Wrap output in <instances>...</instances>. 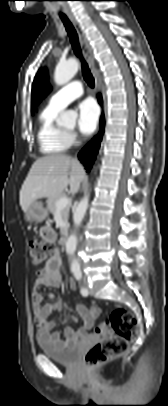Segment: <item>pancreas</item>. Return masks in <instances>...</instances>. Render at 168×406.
<instances>
[{
    "mask_svg": "<svg viewBox=\"0 0 168 406\" xmlns=\"http://www.w3.org/2000/svg\"><path fill=\"white\" fill-rule=\"evenodd\" d=\"M63 197H65V196H64L63 194H60V195L57 196V197L48 198V200H47V206H48V210H49L52 214H55V213L57 212L56 202H57L59 199L63 198ZM69 210H70V207H69V206H67V207H65L64 209L60 210V215H61V218H62V220H63L64 223H67V222H68ZM60 232H61V234H64V233L66 232V228H65V227H61V228H60Z\"/></svg>",
    "mask_w": 168,
    "mask_h": 406,
    "instance_id": "1",
    "label": "pancreas"
}]
</instances>
